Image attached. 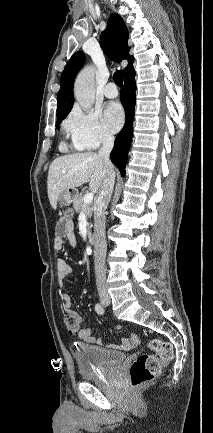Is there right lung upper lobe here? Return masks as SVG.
I'll list each match as a JSON object with an SVG mask.
<instances>
[{
    "instance_id": "obj_1",
    "label": "right lung upper lobe",
    "mask_w": 213,
    "mask_h": 433,
    "mask_svg": "<svg viewBox=\"0 0 213 433\" xmlns=\"http://www.w3.org/2000/svg\"><path fill=\"white\" fill-rule=\"evenodd\" d=\"M128 37V30L123 19L118 14H112L106 29L101 34L100 45L108 57L119 62L124 59L128 61L124 75L133 69L134 61L133 56L129 55ZM84 62V53L78 51L70 58L62 72L58 92L57 120L64 119L72 109L74 80Z\"/></svg>"
}]
</instances>
